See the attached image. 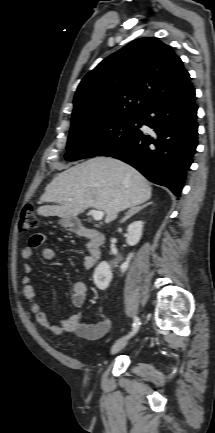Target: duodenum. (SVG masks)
<instances>
[{"mask_svg":"<svg viewBox=\"0 0 215 433\" xmlns=\"http://www.w3.org/2000/svg\"><path fill=\"white\" fill-rule=\"evenodd\" d=\"M68 227L78 235L88 238V252L92 264H96L101 257L102 236L93 229L86 228L80 220L70 219Z\"/></svg>","mask_w":215,"mask_h":433,"instance_id":"410a0bca","label":"duodenum"}]
</instances>
